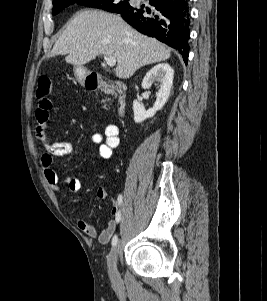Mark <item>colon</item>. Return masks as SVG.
<instances>
[{
    "mask_svg": "<svg viewBox=\"0 0 267 301\" xmlns=\"http://www.w3.org/2000/svg\"><path fill=\"white\" fill-rule=\"evenodd\" d=\"M53 92V83L47 76H41L38 79L36 95L40 98H48Z\"/></svg>",
    "mask_w": 267,
    "mask_h": 301,
    "instance_id": "1",
    "label": "colon"
}]
</instances>
